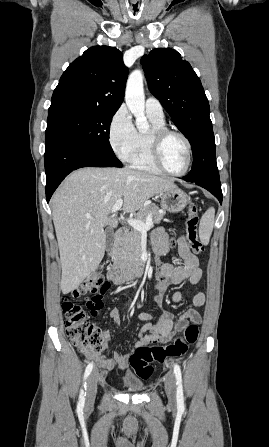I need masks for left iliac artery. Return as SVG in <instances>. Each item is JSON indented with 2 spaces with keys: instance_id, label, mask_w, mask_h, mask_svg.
I'll use <instances>...</instances> for the list:
<instances>
[{
  "instance_id": "left-iliac-artery-1",
  "label": "left iliac artery",
  "mask_w": 269,
  "mask_h": 447,
  "mask_svg": "<svg viewBox=\"0 0 269 447\" xmlns=\"http://www.w3.org/2000/svg\"><path fill=\"white\" fill-rule=\"evenodd\" d=\"M174 373H175L176 385H177V406L184 407L181 369L177 364L174 365Z\"/></svg>"
}]
</instances>
